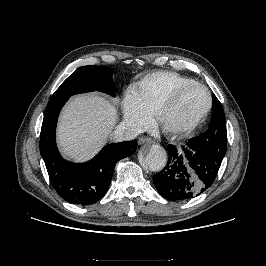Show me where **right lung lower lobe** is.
Wrapping results in <instances>:
<instances>
[{"instance_id": "right-lung-lower-lobe-1", "label": "right lung lower lobe", "mask_w": 266, "mask_h": 266, "mask_svg": "<svg viewBox=\"0 0 266 266\" xmlns=\"http://www.w3.org/2000/svg\"><path fill=\"white\" fill-rule=\"evenodd\" d=\"M70 95H53L47 105L40 134V153L56 192L67 202L93 204L107 192L115 164L132 155L136 140L106 145L92 160L75 164L64 160L56 146L55 130L59 112Z\"/></svg>"}]
</instances>
